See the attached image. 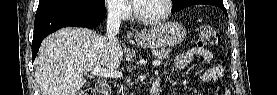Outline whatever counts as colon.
Segmentation results:
<instances>
[{
	"label": "colon",
	"mask_w": 277,
	"mask_h": 95,
	"mask_svg": "<svg viewBox=\"0 0 277 95\" xmlns=\"http://www.w3.org/2000/svg\"><path fill=\"white\" fill-rule=\"evenodd\" d=\"M220 35L210 26H201L197 30V47L206 49L216 46L220 43ZM95 94L91 89L81 90L78 95H93Z\"/></svg>",
	"instance_id": "colon-1"
}]
</instances>
